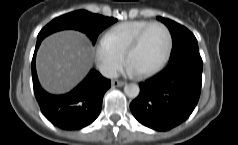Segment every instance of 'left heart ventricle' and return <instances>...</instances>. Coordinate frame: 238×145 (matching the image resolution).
Here are the masks:
<instances>
[{
	"label": "left heart ventricle",
	"mask_w": 238,
	"mask_h": 145,
	"mask_svg": "<svg viewBox=\"0 0 238 145\" xmlns=\"http://www.w3.org/2000/svg\"><path fill=\"white\" fill-rule=\"evenodd\" d=\"M167 46V36L163 28L154 26L148 30L141 44L135 49L128 62L137 73L153 68L163 57Z\"/></svg>",
	"instance_id": "b2bd125f"
}]
</instances>
